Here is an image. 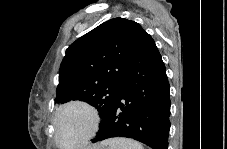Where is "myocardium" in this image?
<instances>
[{
	"instance_id": "f54148a6",
	"label": "myocardium",
	"mask_w": 227,
	"mask_h": 149,
	"mask_svg": "<svg viewBox=\"0 0 227 149\" xmlns=\"http://www.w3.org/2000/svg\"><path fill=\"white\" fill-rule=\"evenodd\" d=\"M83 108L85 109L91 118V125L89 131L78 141L72 144H62L59 140L58 136V123L61 115L70 108ZM53 128H54V142L57 146H64V147H80L86 145L96 134L100 125V114L98 110L88 102L82 100H72L62 104L55 112L53 117Z\"/></svg>"
}]
</instances>
